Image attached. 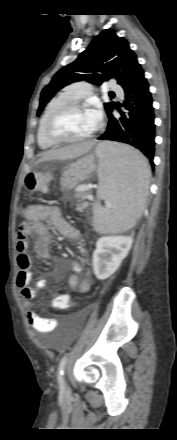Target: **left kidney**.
Listing matches in <instances>:
<instances>
[{
	"label": "left kidney",
	"instance_id": "left-kidney-1",
	"mask_svg": "<svg viewBox=\"0 0 177 440\" xmlns=\"http://www.w3.org/2000/svg\"><path fill=\"white\" fill-rule=\"evenodd\" d=\"M132 237L111 235L98 239L93 252V270L99 280L110 277L131 249Z\"/></svg>",
	"mask_w": 177,
	"mask_h": 440
}]
</instances>
